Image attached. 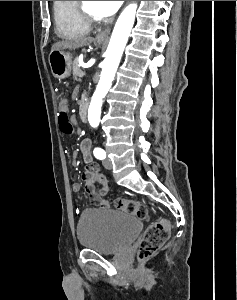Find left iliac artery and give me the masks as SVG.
Wrapping results in <instances>:
<instances>
[{"label":"left iliac artery","mask_w":237,"mask_h":300,"mask_svg":"<svg viewBox=\"0 0 237 300\" xmlns=\"http://www.w3.org/2000/svg\"><path fill=\"white\" fill-rule=\"evenodd\" d=\"M94 156L97 159L103 160L106 158V152L102 148H95L93 151Z\"/></svg>","instance_id":"left-iliac-artery-1"}]
</instances>
